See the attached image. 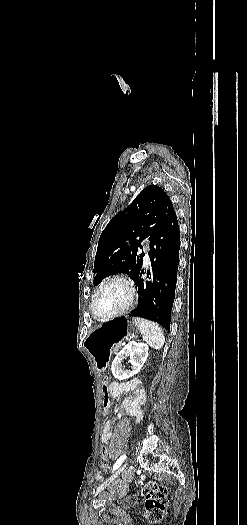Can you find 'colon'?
I'll return each instance as SVG.
<instances>
[{"label":"colon","mask_w":247,"mask_h":525,"mask_svg":"<svg viewBox=\"0 0 247 525\" xmlns=\"http://www.w3.org/2000/svg\"><path fill=\"white\" fill-rule=\"evenodd\" d=\"M101 387L103 389H108L110 387V382L108 380H103L101 382ZM101 398L103 400V402L100 405L101 410L104 412L110 411L112 405L109 400V393H102ZM102 419H107V414H102ZM111 458L112 456L108 449H104L101 452V464L104 468H108V466L111 463ZM140 491L145 501V518L151 523L161 522L165 516V510L167 505V488L157 484L154 481H148L141 486Z\"/></svg>","instance_id":"obj_1"}]
</instances>
